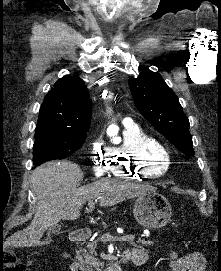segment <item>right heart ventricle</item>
Returning <instances> with one entry per match:
<instances>
[{
  "label": "right heart ventricle",
  "instance_id": "obj_1",
  "mask_svg": "<svg viewBox=\"0 0 221 271\" xmlns=\"http://www.w3.org/2000/svg\"><path fill=\"white\" fill-rule=\"evenodd\" d=\"M165 142L158 136L141 132L125 139L120 146V158H112L109 164L112 176L118 179H155L156 176H171L175 158H167ZM160 149V150H158ZM169 163V164H168ZM170 167H167V166ZM140 172V173H138Z\"/></svg>",
  "mask_w": 221,
  "mask_h": 271
}]
</instances>
